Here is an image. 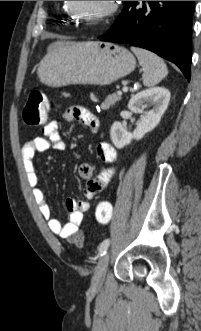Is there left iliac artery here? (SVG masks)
I'll return each instance as SVG.
<instances>
[{
  "instance_id": "obj_1",
  "label": "left iliac artery",
  "mask_w": 201,
  "mask_h": 331,
  "mask_svg": "<svg viewBox=\"0 0 201 331\" xmlns=\"http://www.w3.org/2000/svg\"><path fill=\"white\" fill-rule=\"evenodd\" d=\"M110 244V240L109 239H105L99 246V254L102 256L106 253L108 247Z\"/></svg>"
}]
</instances>
